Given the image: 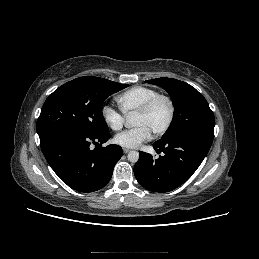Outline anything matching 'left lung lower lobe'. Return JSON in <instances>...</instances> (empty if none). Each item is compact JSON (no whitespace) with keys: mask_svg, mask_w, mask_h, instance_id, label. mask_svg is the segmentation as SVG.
<instances>
[{"mask_svg":"<svg viewBox=\"0 0 259 259\" xmlns=\"http://www.w3.org/2000/svg\"><path fill=\"white\" fill-rule=\"evenodd\" d=\"M214 137L197 132H187L153 144L162 156L153 159L151 154L139 152L134 166L138 183L147 190L169 192L186 182L207 155Z\"/></svg>","mask_w":259,"mask_h":259,"instance_id":"1","label":"left lung lower lobe"}]
</instances>
